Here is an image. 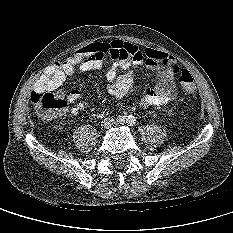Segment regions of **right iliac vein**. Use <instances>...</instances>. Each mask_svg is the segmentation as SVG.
Masks as SVG:
<instances>
[{
  "label": "right iliac vein",
  "mask_w": 233,
  "mask_h": 233,
  "mask_svg": "<svg viewBox=\"0 0 233 233\" xmlns=\"http://www.w3.org/2000/svg\"><path fill=\"white\" fill-rule=\"evenodd\" d=\"M108 124H109L108 121H105V122H104V126H105V127L108 126Z\"/></svg>",
  "instance_id": "1"
}]
</instances>
